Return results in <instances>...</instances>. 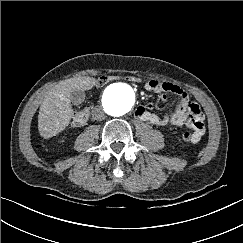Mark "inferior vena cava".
<instances>
[{
	"label": "inferior vena cava",
	"instance_id": "1",
	"mask_svg": "<svg viewBox=\"0 0 243 243\" xmlns=\"http://www.w3.org/2000/svg\"><path fill=\"white\" fill-rule=\"evenodd\" d=\"M92 117L95 120L102 121L106 118V114L101 107H97L92 111Z\"/></svg>",
	"mask_w": 243,
	"mask_h": 243
}]
</instances>
